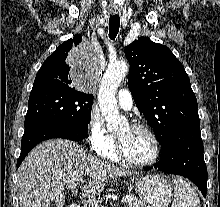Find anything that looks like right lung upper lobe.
<instances>
[{
    "label": "right lung upper lobe",
    "mask_w": 220,
    "mask_h": 207,
    "mask_svg": "<svg viewBox=\"0 0 220 207\" xmlns=\"http://www.w3.org/2000/svg\"><path fill=\"white\" fill-rule=\"evenodd\" d=\"M81 41V36L75 35L59 45L42 64L34 80L33 88L42 86L74 88L71 85L70 67L67 61L72 47L77 46Z\"/></svg>",
    "instance_id": "obj_1"
}]
</instances>
